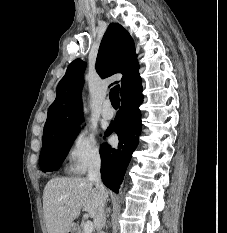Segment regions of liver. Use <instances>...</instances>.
<instances>
[{
	"label": "liver",
	"mask_w": 227,
	"mask_h": 233,
	"mask_svg": "<svg viewBox=\"0 0 227 233\" xmlns=\"http://www.w3.org/2000/svg\"><path fill=\"white\" fill-rule=\"evenodd\" d=\"M88 178H52L43 191V210L48 233H67L81 209L96 218L100 193ZM107 194V192H106Z\"/></svg>",
	"instance_id": "6515ba94"
}]
</instances>
